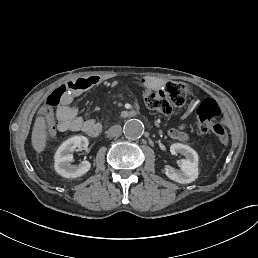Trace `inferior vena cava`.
Listing matches in <instances>:
<instances>
[{
	"label": "inferior vena cava",
	"instance_id": "inferior-vena-cava-1",
	"mask_svg": "<svg viewBox=\"0 0 258 258\" xmlns=\"http://www.w3.org/2000/svg\"><path fill=\"white\" fill-rule=\"evenodd\" d=\"M121 133H122V127L120 125L112 126L107 132L109 137H119Z\"/></svg>",
	"mask_w": 258,
	"mask_h": 258
}]
</instances>
